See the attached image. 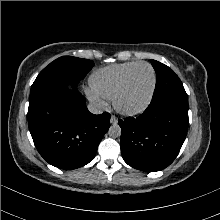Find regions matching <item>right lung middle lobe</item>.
I'll return each mask as SVG.
<instances>
[{
  "label": "right lung middle lobe",
  "mask_w": 220,
  "mask_h": 220,
  "mask_svg": "<svg viewBox=\"0 0 220 220\" xmlns=\"http://www.w3.org/2000/svg\"><path fill=\"white\" fill-rule=\"evenodd\" d=\"M94 66L93 61L72 56H63L45 67L34 83L53 78L65 77L72 80H82ZM33 83V84H34Z\"/></svg>",
  "instance_id": "right-lung-middle-lobe-1"
}]
</instances>
